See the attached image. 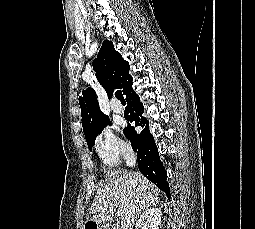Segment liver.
Listing matches in <instances>:
<instances>
[{
	"mask_svg": "<svg viewBox=\"0 0 255 229\" xmlns=\"http://www.w3.org/2000/svg\"><path fill=\"white\" fill-rule=\"evenodd\" d=\"M159 193V189L138 172H107L90 207L91 221L109 222L120 208L124 212L120 229H133L141 211L159 202Z\"/></svg>",
	"mask_w": 255,
	"mask_h": 229,
	"instance_id": "6515ba94",
	"label": "liver"
}]
</instances>
